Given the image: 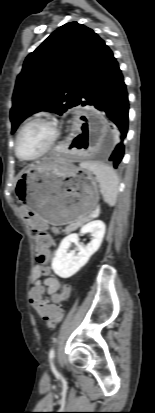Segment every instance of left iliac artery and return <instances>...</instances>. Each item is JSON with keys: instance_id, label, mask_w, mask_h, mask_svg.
Returning a JSON list of instances; mask_svg holds the SVG:
<instances>
[{"instance_id": "1", "label": "left iliac artery", "mask_w": 155, "mask_h": 413, "mask_svg": "<svg viewBox=\"0 0 155 413\" xmlns=\"http://www.w3.org/2000/svg\"><path fill=\"white\" fill-rule=\"evenodd\" d=\"M54 356H55V353H54V349L52 348L49 352V360H50V365H51V368H52L53 371H55V366H54V363H53Z\"/></svg>"}]
</instances>
